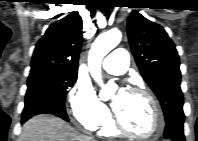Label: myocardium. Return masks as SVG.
I'll list each match as a JSON object with an SVG mask.
<instances>
[{
    "instance_id": "1",
    "label": "myocardium",
    "mask_w": 198,
    "mask_h": 141,
    "mask_svg": "<svg viewBox=\"0 0 198 141\" xmlns=\"http://www.w3.org/2000/svg\"><path fill=\"white\" fill-rule=\"evenodd\" d=\"M130 93L145 96L149 100V102L152 105V110H153L154 129L146 135L137 134V133L129 130L128 128H126L121 123L120 118L117 115V113L114 112L113 117H114V125H115L116 129L119 130L120 132L126 134L129 137L139 139V140H152V139L156 138L157 136H159V134L162 130V127H163L162 112H161V108H160V105H159L157 99L154 97V95L152 93H150L148 90H146L144 88H139V87L132 88L130 90Z\"/></svg>"
}]
</instances>
